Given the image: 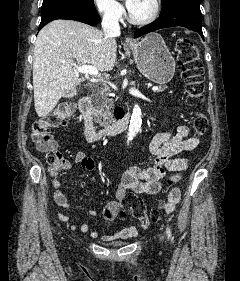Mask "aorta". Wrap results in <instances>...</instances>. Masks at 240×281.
I'll use <instances>...</instances> for the list:
<instances>
[{"mask_svg":"<svg viewBox=\"0 0 240 281\" xmlns=\"http://www.w3.org/2000/svg\"><path fill=\"white\" fill-rule=\"evenodd\" d=\"M141 124H142L141 109L138 105H135L133 108L129 129H128V140H133V138L139 132Z\"/></svg>","mask_w":240,"mask_h":281,"instance_id":"obj_1","label":"aorta"}]
</instances>
